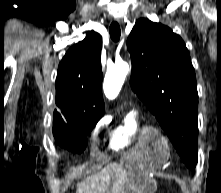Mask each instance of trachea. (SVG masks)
I'll use <instances>...</instances> for the list:
<instances>
[{
  "label": "trachea",
  "instance_id": "3493384b",
  "mask_svg": "<svg viewBox=\"0 0 221 193\" xmlns=\"http://www.w3.org/2000/svg\"><path fill=\"white\" fill-rule=\"evenodd\" d=\"M110 37L113 41L117 42L121 36L120 26L117 22H112L109 28Z\"/></svg>",
  "mask_w": 221,
  "mask_h": 193
}]
</instances>
